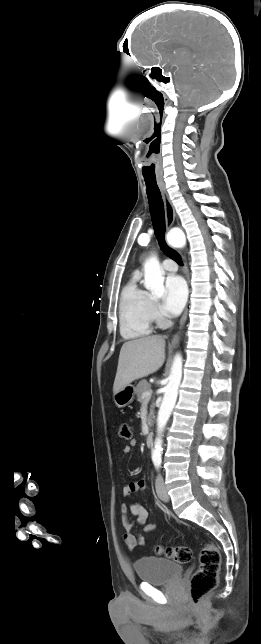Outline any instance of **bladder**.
I'll list each match as a JSON object with an SVG mask.
<instances>
[{"mask_svg":"<svg viewBox=\"0 0 261 644\" xmlns=\"http://www.w3.org/2000/svg\"><path fill=\"white\" fill-rule=\"evenodd\" d=\"M134 568L142 582L153 585L171 583L183 572L181 564L156 556H144L137 559Z\"/></svg>","mask_w":261,"mask_h":644,"instance_id":"31cf9c89","label":"bladder"}]
</instances>
